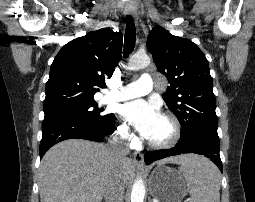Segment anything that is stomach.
Returning a JSON list of instances; mask_svg holds the SVG:
<instances>
[{
  "mask_svg": "<svg viewBox=\"0 0 255 202\" xmlns=\"http://www.w3.org/2000/svg\"><path fill=\"white\" fill-rule=\"evenodd\" d=\"M149 191L159 202H181L186 196V182L178 170L159 164L150 175Z\"/></svg>",
  "mask_w": 255,
  "mask_h": 202,
  "instance_id": "0dacf381",
  "label": "stomach"
}]
</instances>
